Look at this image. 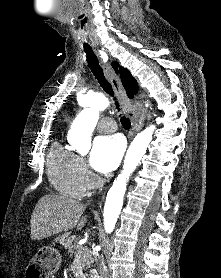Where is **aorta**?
I'll list each match as a JSON object with an SVG mask.
<instances>
[{
	"mask_svg": "<svg viewBox=\"0 0 221 278\" xmlns=\"http://www.w3.org/2000/svg\"><path fill=\"white\" fill-rule=\"evenodd\" d=\"M88 108L83 109L75 118L69 131V141L79 153H86L91 147V134L99 119V112L108 106V100L101 94L88 97ZM154 125L144 129L132 141L124 160L123 171L114 180L109 189L104 205V227L111 233L120 215L127 181L140 163L149 143L152 140Z\"/></svg>",
	"mask_w": 221,
	"mask_h": 278,
	"instance_id": "obj_1",
	"label": "aorta"
}]
</instances>
